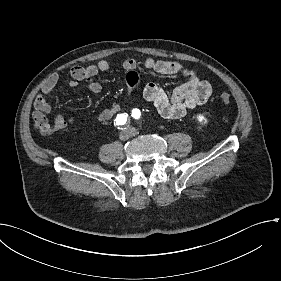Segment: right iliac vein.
Returning a JSON list of instances; mask_svg holds the SVG:
<instances>
[{"instance_id": "63e3f726", "label": "right iliac vein", "mask_w": 281, "mask_h": 281, "mask_svg": "<svg viewBox=\"0 0 281 281\" xmlns=\"http://www.w3.org/2000/svg\"><path fill=\"white\" fill-rule=\"evenodd\" d=\"M128 136H129V131L128 130H123L119 134V139L124 141V140L128 139Z\"/></svg>"}]
</instances>
